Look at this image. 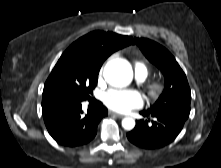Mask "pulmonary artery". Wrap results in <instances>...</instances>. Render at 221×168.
I'll return each instance as SVG.
<instances>
[{"label": "pulmonary artery", "instance_id": "pulmonary-artery-1", "mask_svg": "<svg viewBox=\"0 0 221 168\" xmlns=\"http://www.w3.org/2000/svg\"><path fill=\"white\" fill-rule=\"evenodd\" d=\"M136 78L139 81H143L146 78V76L144 74H141V73H136Z\"/></svg>", "mask_w": 221, "mask_h": 168}]
</instances>
